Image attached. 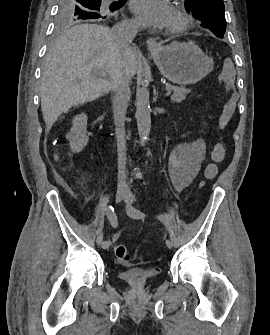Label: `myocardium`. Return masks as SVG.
<instances>
[{"label":"myocardium","mask_w":270,"mask_h":335,"mask_svg":"<svg viewBox=\"0 0 270 335\" xmlns=\"http://www.w3.org/2000/svg\"><path fill=\"white\" fill-rule=\"evenodd\" d=\"M189 23L188 18L181 12H178L177 14V28L179 30H182L187 27Z\"/></svg>","instance_id":"f54148a6"}]
</instances>
